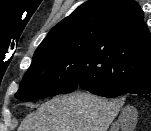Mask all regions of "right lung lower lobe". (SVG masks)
<instances>
[{
    "mask_svg": "<svg viewBox=\"0 0 151 131\" xmlns=\"http://www.w3.org/2000/svg\"><path fill=\"white\" fill-rule=\"evenodd\" d=\"M79 88L87 90L95 95L115 98L128 93H134L151 102V82L137 83L130 85H110V84H93L89 82H79Z\"/></svg>",
    "mask_w": 151,
    "mask_h": 131,
    "instance_id": "98d812e1",
    "label": "right lung lower lobe"
}]
</instances>
